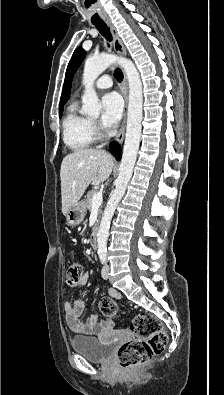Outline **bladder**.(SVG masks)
<instances>
[{
    "label": "bladder",
    "instance_id": "obj_1",
    "mask_svg": "<svg viewBox=\"0 0 224 395\" xmlns=\"http://www.w3.org/2000/svg\"><path fill=\"white\" fill-rule=\"evenodd\" d=\"M71 347L75 353L84 356L91 362H106L113 355V342H103L101 338L75 336L71 339Z\"/></svg>",
    "mask_w": 224,
    "mask_h": 395
}]
</instances>
